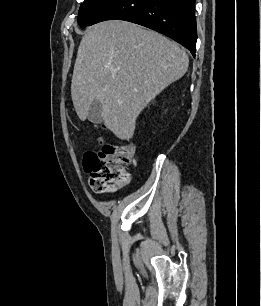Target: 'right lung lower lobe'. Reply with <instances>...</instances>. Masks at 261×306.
Returning a JSON list of instances; mask_svg holds the SVG:
<instances>
[{
  "instance_id": "right-lung-lower-lobe-1",
  "label": "right lung lower lobe",
  "mask_w": 261,
  "mask_h": 306,
  "mask_svg": "<svg viewBox=\"0 0 261 306\" xmlns=\"http://www.w3.org/2000/svg\"><path fill=\"white\" fill-rule=\"evenodd\" d=\"M106 20H125L153 29L195 56V0H114L88 26Z\"/></svg>"
}]
</instances>
